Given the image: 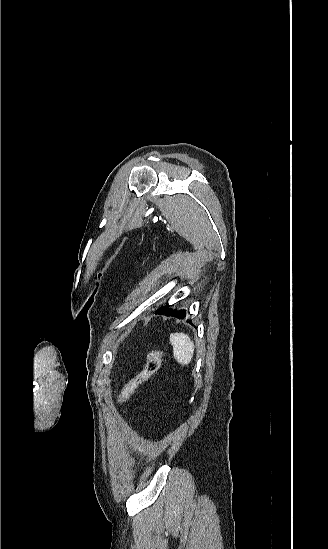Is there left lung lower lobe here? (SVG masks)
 Listing matches in <instances>:
<instances>
[{"label":"left lung lower lobe","mask_w":328,"mask_h":549,"mask_svg":"<svg viewBox=\"0 0 328 549\" xmlns=\"http://www.w3.org/2000/svg\"><path fill=\"white\" fill-rule=\"evenodd\" d=\"M156 314H163V315H166V316H174V317H177L179 319H183L186 315V311L185 310H179V311H174L173 309H171L170 307H161L160 309H158L156 311Z\"/></svg>","instance_id":"0a47b994"}]
</instances>
